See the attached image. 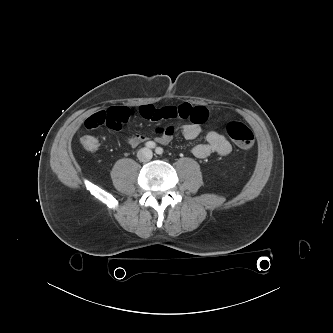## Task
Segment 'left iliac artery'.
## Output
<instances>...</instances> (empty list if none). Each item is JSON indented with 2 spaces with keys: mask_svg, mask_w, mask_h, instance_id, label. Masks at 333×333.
<instances>
[{
  "mask_svg": "<svg viewBox=\"0 0 333 333\" xmlns=\"http://www.w3.org/2000/svg\"><path fill=\"white\" fill-rule=\"evenodd\" d=\"M156 154L161 155L163 153V149L161 147H157L155 149Z\"/></svg>",
  "mask_w": 333,
  "mask_h": 333,
  "instance_id": "left-iliac-artery-1",
  "label": "left iliac artery"
}]
</instances>
